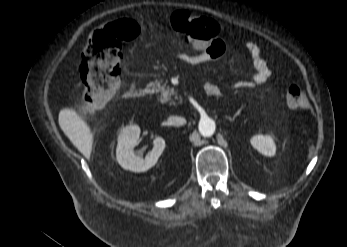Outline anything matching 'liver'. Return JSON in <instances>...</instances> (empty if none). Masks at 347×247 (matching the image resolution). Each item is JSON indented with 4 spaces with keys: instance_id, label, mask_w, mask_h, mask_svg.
Segmentation results:
<instances>
[{
    "instance_id": "1",
    "label": "liver",
    "mask_w": 347,
    "mask_h": 247,
    "mask_svg": "<svg viewBox=\"0 0 347 247\" xmlns=\"http://www.w3.org/2000/svg\"><path fill=\"white\" fill-rule=\"evenodd\" d=\"M59 122L77 149L89 159L93 145V134L87 123L74 109L68 108L60 111Z\"/></svg>"
}]
</instances>
